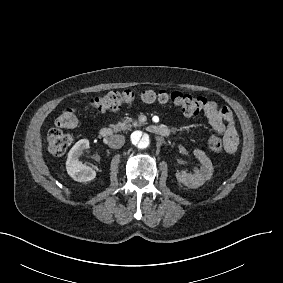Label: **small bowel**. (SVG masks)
<instances>
[{
  "instance_id": "small-bowel-1",
  "label": "small bowel",
  "mask_w": 283,
  "mask_h": 283,
  "mask_svg": "<svg viewBox=\"0 0 283 283\" xmlns=\"http://www.w3.org/2000/svg\"><path fill=\"white\" fill-rule=\"evenodd\" d=\"M233 107L230 104H225L222 108L216 101H209L204 107V115L207 118L213 130L228 141V148L225 151L227 154H234L239 145L237 132L233 126L234 115L232 114ZM170 134L172 129L166 128Z\"/></svg>"
}]
</instances>
